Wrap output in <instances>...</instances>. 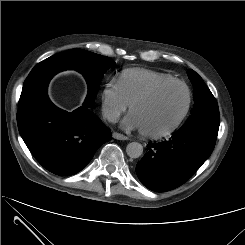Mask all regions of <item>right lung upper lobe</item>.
<instances>
[{
    "mask_svg": "<svg viewBox=\"0 0 245 245\" xmlns=\"http://www.w3.org/2000/svg\"><path fill=\"white\" fill-rule=\"evenodd\" d=\"M59 71L61 70L53 67L50 58H47L32 69L25 83L31 85L36 91L43 94L47 89L50 79Z\"/></svg>",
    "mask_w": 245,
    "mask_h": 245,
    "instance_id": "obj_1",
    "label": "right lung upper lobe"
}]
</instances>
